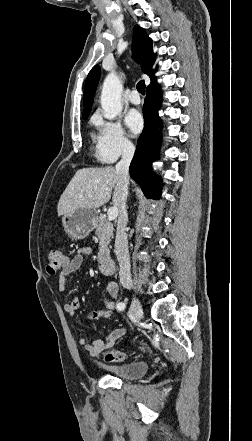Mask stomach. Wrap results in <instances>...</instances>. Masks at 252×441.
Here are the masks:
<instances>
[{"mask_svg": "<svg viewBox=\"0 0 252 441\" xmlns=\"http://www.w3.org/2000/svg\"><path fill=\"white\" fill-rule=\"evenodd\" d=\"M98 213L95 209H78L62 217L65 232L72 238L83 239L95 228Z\"/></svg>", "mask_w": 252, "mask_h": 441, "instance_id": "stomach-1", "label": "stomach"}]
</instances>
